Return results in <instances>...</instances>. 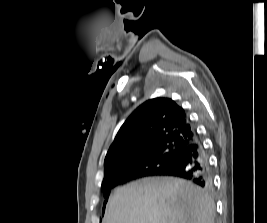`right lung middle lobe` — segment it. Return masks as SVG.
<instances>
[{
    "mask_svg": "<svg viewBox=\"0 0 267 223\" xmlns=\"http://www.w3.org/2000/svg\"><path fill=\"white\" fill-rule=\"evenodd\" d=\"M182 150L174 145L161 146L156 151L144 159H140L131 165L136 171L156 174L168 168L182 154ZM104 183V182H103ZM110 192L104 193L107 202ZM105 206V203H104Z\"/></svg>",
    "mask_w": 267,
    "mask_h": 223,
    "instance_id": "obj_1",
    "label": "right lung middle lobe"
}]
</instances>
